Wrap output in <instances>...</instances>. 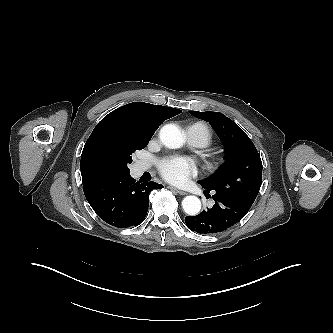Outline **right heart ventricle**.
Returning a JSON list of instances; mask_svg holds the SVG:
<instances>
[{"instance_id":"obj_1","label":"right heart ventricle","mask_w":333,"mask_h":333,"mask_svg":"<svg viewBox=\"0 0 333 333\" xmlns=\"http://www.w3.org/2000/svg\"><path fill=\"white\" fill-rule=\"evenodd\" d=\"M200 125L204 128V131H205V134H206V137H207V141L209 142V140L211 138V135H210V132H209L208 128L203 124H200Z\"/></svg>"}]
</instances>
